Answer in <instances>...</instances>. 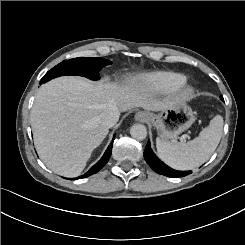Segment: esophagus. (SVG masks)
Segmentation results:
<instances>
[{
    "mask_svg": "<svg viewBox=\"0 0 245 245\" xmlns=\"http://www.w3.org/2000/svg\"><path fill=\"white\" fill-rule=\"evenodd\" d=\"M135 117L137 121L143 123H147L150 120V114L148 112H143V111L138 112Z\"/></svg>",
    "mask_w": 245,
    "mask_h": 245,
    "instance_id": "obj_1",
    "label": "esophagus"
}]
</instances>
